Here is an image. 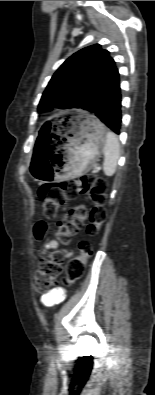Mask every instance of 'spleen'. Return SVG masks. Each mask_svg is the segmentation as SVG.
Listing matches in <instances>:
<instances>
[{
    "label": "spleen",
    "mask_w": 155,
    "mask_h": 395,
    "mask_svg": "<svg viewBox=\"0 0 155 395\" xmlns=\"http://www.w3.org/2000/svg\"><path fill=\"white\" fill-rule=\"evenodd\" d=\"M104 163L103 170L105 175L112 176L117 167L120 154V144L118 138L113 132L106 133V141L103 147Z\"/></svg>",
    "instance_id": "1"
}]
</instances>
